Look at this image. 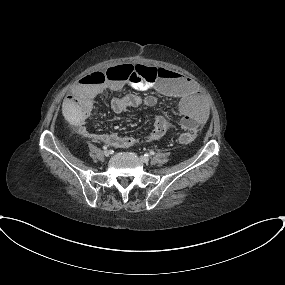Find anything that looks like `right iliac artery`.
Listing matches in <instances>:
<instances>
[{
	"mask_svg": "<svg viewBox=\"0 0 285 285\" xmlns=\"http://www.w3.org/2000/svg\"><path fill=\"white\" fill-rule=\"evenodd\" d=\"M102 149L107 150V146H106V145H104V146L102 147Z\"/></svg>",
	"mask_w": 285,
	"mask_h": 285,
	"instance_id": "obj_1",
	"label": "right iliac artery"
}]
</instances>
